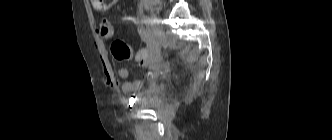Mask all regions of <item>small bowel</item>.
Listing matches in <instances>:
<instances>
[{"mask_svg": "<svg viewBox=\"0 0 332 140\" xmlns=\"http://www.w3.org/2000/svg\"><path fill=\"white\" fill-rule=\"evenodd\" d=\"M111 37H105V38L109 39ZM146 45H147L146 49L139 50L137 52V57H136L137 61L142 66H147L152 60H154L157 57L159 52L158 43L154 39L146 38ZM103 69L107 83L113 88H120L122 92L125 94L134 93L144 88V82L142 80H127L121 84L117 79V77L115 76L107 60H103ZM117 74L118 77L122 79H126L129 77V71L125 67H120L118 69ZM148 77L152 79L153 74L149 73Z\"/></svg>", "mask_w": 332, "mask_h": 140, "instance_id": "c3829d8e", "label": "small bowel"}]
</instances>
